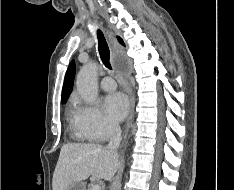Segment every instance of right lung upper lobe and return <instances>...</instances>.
I'll list each match as a JSON object with an SVG mask.
<instances>
[{
	"label": "right lung upper lobe",
	"instance_id": "1",
	"mask_svg": "<svg viewBox=\"0 0 234 190\" xmlns=\"http://www.w3.org/2000/svg\"><path fill=\"white\" fill-rule=\"evenodd\" d=\"M117 39L120 42V44L124 45V42L120 37H117ZM74 75H75V62L73 60L70 63L65 75L63 89H62V103L66 102L70 95V92L73 87Z\"/></svg>",
	"mask_w": 234,
	"mask_h": 190
}]
</instances>
